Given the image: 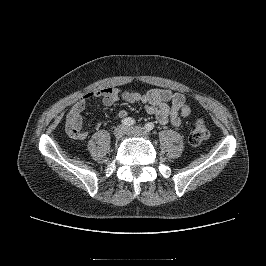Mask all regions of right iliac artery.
Segmentation results:
<instances>
[{
    "mask_svg": "<svg viewBox=\"0 0 266 266\" xmlns=\"http://www.w3.org/2000/svg\"><path fill=\"white\" fill-rule=\"evenodd\" d=\"M121 123L125 126H132L135 124V120L131 117H128V118H124Z\"/></svg>",
    "mask_w": 266,
    "mask_h": 266,
    "instance_id": "1",
    "label": "right iliac artery"
}]
</instances>
